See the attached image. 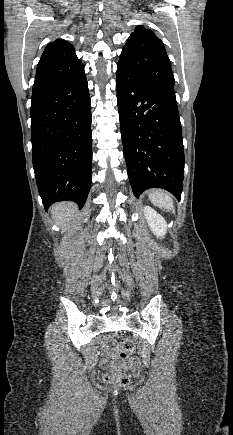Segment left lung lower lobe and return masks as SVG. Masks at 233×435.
Returning a JSON list of instances; mask_svg holds the SVG:
<instances>
[{"label":"left lung lower lobe","instance_id":"obj_1","mask_svg":"<svg viewBox=\"0 0 233 435\" xmlns=\"http://www.w3.org/2000/svg\"><path fill=\"white\" fill-rule=\"evenodd\" d=\"M117 103L129 181L136 197L159 187L178 200L184 151L175 93L152 87L117 65Z\"/></svg>","mask_w":233,"mask_h":435}]
</instances>
